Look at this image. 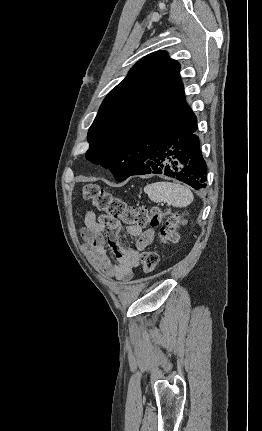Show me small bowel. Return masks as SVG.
<instances>
[{"mask_svg":"<svg viewBox=\"0 0 262 431\" xmlns=\"http://www.w3.org/2000/svg\"><path fill=\"white\" fill-rule=\"evenodd\" d=\"M84 224L82 238L94 266L120 282H129L138 264L140 251L153 242L155 229L126 226L127 233L137 238L135 249L126 250L119 243L122 229L119 220L107 215L97 217L93 211H89L85 214ZM107 247L112 250L114 263L107 256Z\"/></svg>","mask_w":262,"mask_h":431,"instance_id":"small-bowel-1","label":"small bowel"}]
</instances>
